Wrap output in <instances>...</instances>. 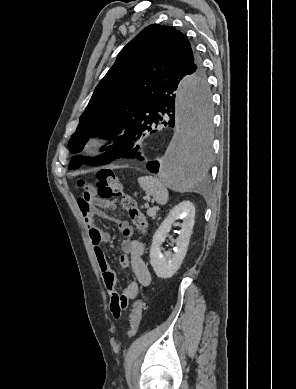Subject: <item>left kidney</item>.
Returning a JSON list of instances; mask_svg holds the SVG:
<instances>
[{
  "label": "left kidney",
  "instance_id": "1",
  "mask_svg": "<svg viewBox=\"0 0 296 389\" xmlns=\"http://www.w3.org/2000/svg\"><path fill=\"white\" fill-rule=\"evenodd\" d=\"M195 206L190 201H183L170 210L167 218L161 223L155 232L150 247V264L154 272L160 278L172 277L180 268L187 253L190 236L194 226ZM181 219V230L176 231L179 236L172 243L175 244L174 252L162 253L161 245L169 236L172 225Z\"/></svg>",
  "mask_w": 296,
  "mask_h": 389
}]
</instances>
